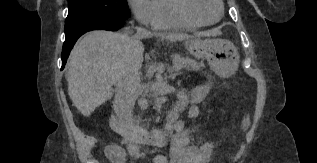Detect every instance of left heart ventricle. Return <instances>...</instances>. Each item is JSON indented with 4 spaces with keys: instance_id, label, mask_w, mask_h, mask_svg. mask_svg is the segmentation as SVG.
Returning <instances> with one entry per match:
<instances>
[{
    "instance_id": "left-heart-ventricle-1",
    "label": "left heart ventricle",
    "mask_w": 317,
    "mask_h": 163,
    "mask_svg": "<svg viewBox=\"0 0 317 163\" xmlns=\"http://www.w3.org/2000/svg\"><path fill=\"white\" fill-rule=\"evenodd\" d=\"M186 7L190 15L206 21L216 19L220 12L217 0H187Z\"/></svg>"
}]
</instances>
